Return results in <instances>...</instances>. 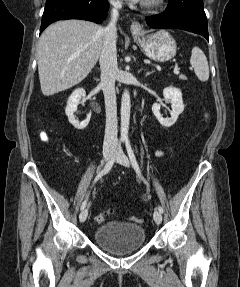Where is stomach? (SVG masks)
<instances>
[{"label":"stomach","mask_w":240,"mask_h":287,"mask_svg":"<svg viewBox=\"0 0 240 287\" xmlns=\"http://www.w3.org/2000/svg\"><path fill=\"white\" fill-rule=\"evenodd\" d=\"M133 37L142 52L154 61L165 62L176 55V42L166 30L133 34Z\"/></svg>","instance_id":"stomach-1"}]
</instances>
